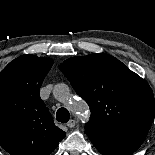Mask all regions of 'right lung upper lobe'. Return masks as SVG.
I'll list each match as a JSON object with an SVG mask.
<instances>
[{
    "mask_svg": "<svg viewBox=\"0 0 155 155\" xmlns=\"http://www.w3.org/2000/svg\"><path fill=\"white\" fill-rule=\"evenodd\" d=\"M52 65L25 54L0 72V146L11 155H49L65 137L39 95Z\"/></svg>",
    "mask_w": 155,
    "mask_h": 155,
    "instance_id": "1",
    "label": "right lung upper lobe"
}]
</instances>
